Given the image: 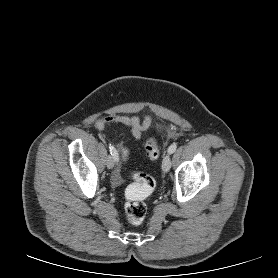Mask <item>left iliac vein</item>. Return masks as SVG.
<instances>
[{"instance_id": "left-iliac-vein-1", "label": "left iliac vein", "mask_w": 278, "mask_h": 278, "mask_svg": "<svg viewBox=\"0 0 278 278\" xmlns=\"http://www.w3.org/2000/svg\"><path fill=\"white\" fill-rule=\"evenodd\" d=\"M170 167H171V157H170V154H167L164 159H163V162H162V170L163 172H168L170 170Z\"/></svg>"}]
</instances>
